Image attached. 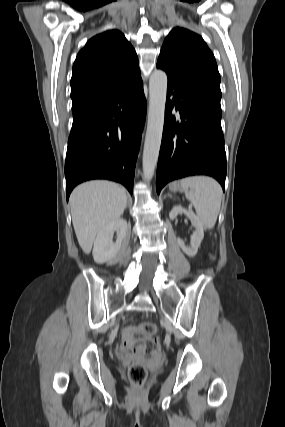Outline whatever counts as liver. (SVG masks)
I'll return each instance as SVG.
<instances>
[{
  "mask_svg": "<svg viewBox=\"0 0 285 427\" xmlns=\"http://www.w3.org/2000/svg\"><path fill=\"white\" fill-rule=\"evenodd\" d=\"M126 203L125 189L109 181H90L73 190L70 196L72 223L84 253H90L100 230L120 218Z\"/></svg>",
  "mask_w": 285,
  "mask_h": 427,
  "instance_id": "liver-1",
  "label": "liver"
}]
</instances>
